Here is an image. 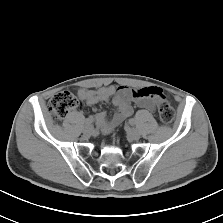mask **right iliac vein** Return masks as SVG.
I'll list each match as a JSON object with an SVG mask.
<instances>
[{
	"instance_id": "63e3f726",
	"label": "right iliac vein",
	"mask_w": 223,
	"mask_h": 223,
	"mask_svg": "<svg viewBox=\"0 0 223 223\" xmlns=\"http://www.w3.org/2000/svg\"><path fill=\"white\" fill-rule=\"evenodd\" d=\"M92 132H93V127L92 126H86V127H84V129H83V133H84V135H86V136H89V135H91L92 134Z\"/></svg>"
}]
</instances>
